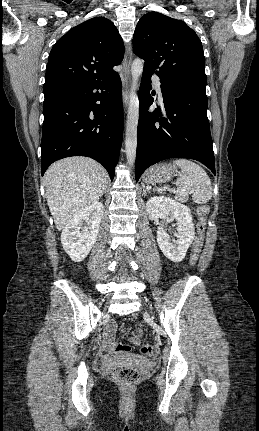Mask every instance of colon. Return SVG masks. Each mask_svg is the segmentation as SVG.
Listing matches in <instances>:
<instances>
[{"label": "colon", "mask_w": 259, "mask_h": 431, "mask_svg": "<svg viewBox=\"0 0 259 431\" xmlns=\"http://www.w3.org/2000/svg\"><path fill=\"white\" fill-rule=\"evenodd\" d=\"M210 207L207 204H203L198 206L197 211H196V216H197V235L195 238V241L193 243L192 246V250H191V265L195 266L197 261H198V257L200 254V251L202 249V244H203V237H204V233H205V229L207 226V215L209 213ZM130 346L127 344H114L112 347V351L114 352H118V353H126L130 351ZM141 353L145 356V357H152L154 355V348L150 345H144L141 347ZM112 375L114 377V379L125 385V386H131L133 384H135L139 378H140V372L132 367H127V366H116L113 368L112 370Z\"/></svg>", "instance_id": "colon-1"}]
</instances>
